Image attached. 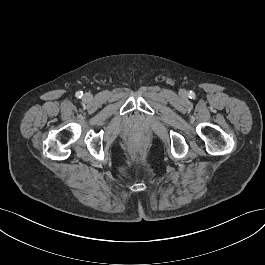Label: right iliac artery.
Here are the masks:
<instances>
[{"instance_id": "obj_1", "label": "right iliac artery", "mask_w": 265, "mask_h": 265, "mask_svg": "<svg viewBox=\"0 0 265 265\" xmlns=\"http://www.w3.org/2000/svg\"><path fill=\"white\" fill-rule=\"evenodd\" d=\"M82 95H83V92H82V91H78V92H76V97H77V98H81Z\"/></svg>"}]
</instances>
